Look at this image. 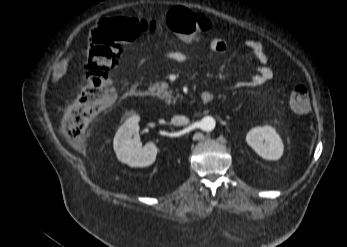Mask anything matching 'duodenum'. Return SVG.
Wrapping results in <instances>:
<instances>
[{
    "instance_id": "obj_1",
    "label": "duodenum",
    "mask_w": 347,
    "mask_h": 247,
    "mask_svg": "<svg viewBox=\"0 0 347 247\" xmlns=\"http://www.w3.org/2000/svg\"><path fill=\"white\" fill-rule=\"evenodd\" d=\"M149 94V90L146 88H131L128 91V95L132 97H146ZM213 99L211 92L205 91L200 96V101L204 104L209 103Z\"/></svg>"
}]
</instances>
